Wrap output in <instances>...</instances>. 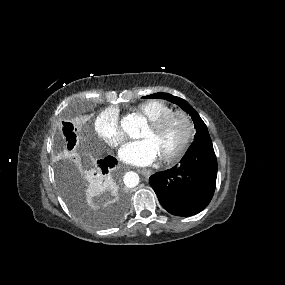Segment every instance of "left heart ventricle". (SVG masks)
Masks as SVG:
<instances>
[{
	"mask_svg": "<svg viewBox=\"0 0 285 285\" xmlns=\"http://www.w3.org/2000/svg\"><path fill=\"white\" fill-rule=\"evenodd\" d=\"M185 133L186 126L184 122L181 119L176 118L160 130H155L148 125L141 137L143 139H152L161 156L173 152L181 143Z\"/></svg>",
	"mask_w": 285,
	"mask_h": 285,
	"instance_id": "b2bd125f",
	"label": "left heart ventricle"
}]
</instances>
